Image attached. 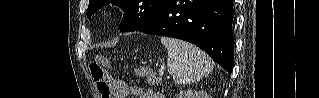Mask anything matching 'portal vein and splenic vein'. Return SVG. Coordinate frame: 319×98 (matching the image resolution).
<instances>
[{
  "label": "portal vein and splenic vein",
  "instance_id": "obj_1",
  "mask_svg": "<svg viewBox=\"0 0 319 98\" xmlns=\"http://www.w3.org/2000/svg\"><path fill=\"white\" fill-rule=\"evenodd\" d=\"M159 74L162 75V74H163V70H160V71H159Z\"/></svg>",
  "mask_w": 319,
  "mask_h": 98
}]
</instances>
